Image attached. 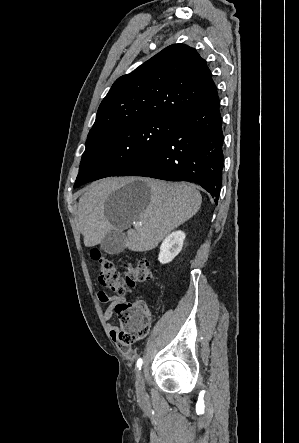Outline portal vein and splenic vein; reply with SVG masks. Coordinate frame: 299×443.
Listing matches in <instances>:
<instances>
[{
	"mask_svg": "<svg viewBox=\"0 0 299 443\" xmlns=\"http://www.w3.org/2000/svg\"><path fill=\"white\" fill-rule=\"evenodd\" d=\"M140 225H141V223L138 222V221H134V222H133V226H134L135 228H139Z\"/></svg>",
	"mask_w": 299,
	"mask_h": 443,
	"instance_id": "1",
	"label": "portal vein and splenic vein"
}]
</instances>
